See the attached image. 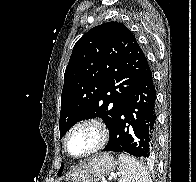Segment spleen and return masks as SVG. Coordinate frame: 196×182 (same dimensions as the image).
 Wrapping results in <instances>:
<instances>
[{
  "mask_svg": "<svg viewBox=\"0 0 196 182\" xmlns=\"http://www.w3.org/2000/svg\"><path fill=\"white\" fill-rule=\"evenodd\" d=\"M118 160L119 182H152L146 168L134 157L128 154H120Z\"/></svg>",
  "mask_w": 196,
  "mask_h": 182,
  "instance_id": "spleen-1",
  "label": "spleen"
}]
</instances>
